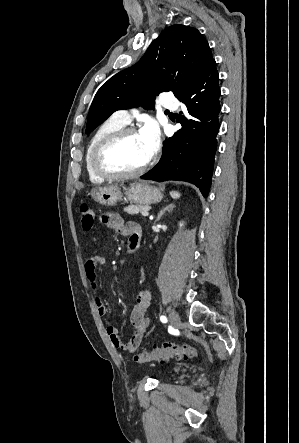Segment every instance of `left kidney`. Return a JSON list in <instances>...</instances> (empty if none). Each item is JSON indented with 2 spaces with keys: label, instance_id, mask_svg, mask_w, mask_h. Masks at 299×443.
<instances>
[{
  "label": "left kidney",
  "instance_id": "5707ae66",
  "mask_svg": "<svg viewBox=\"0 0 299 443\" xmlns=\"http://www.w3.org/2000/svg\"><path fill=\"white\" fill-rule=\"evenodd\" d=\"M184 225V222L179 223V227L181 228Z\"/></svg>",
  "mask_w": 299,
  "mask_h": 443
}]
</instances>
